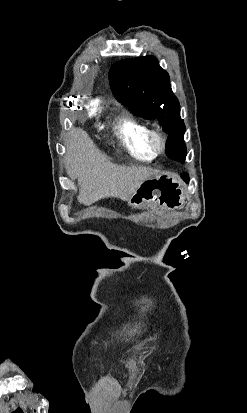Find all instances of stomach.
<instances>
[{"label": "stomach", "instance_id": "1", "mask_svg": "<svg viewBox=\"0 0 247 413\" xmlns=\"http://www.w3.org/2000/svg\"><path fill=\"white\" fill-rule=\"evenodd\" d=\"M186 200V186L180 176L171 172L154 174L139 184L137 190L127 198L129 207H157V211L180 209Z\"/></svg>", "mask_w": 247, "mask_h": 413}]
</instances>
